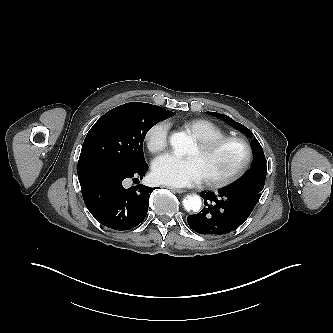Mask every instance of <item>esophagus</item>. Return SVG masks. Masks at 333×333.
Here are the masks:
<instances>
[{"mask_svg":"<svg viewBox=\"0 0 333 333\" xmlns=\"http://www.w3.org/2000/svg\"><path fill=\"white\" fill-rule=\"evenodd\" d=\"M168 189L177 192V193H184L185 190L184 189H179V188H175V187H171V186H166Z\"/></svg>","mask_w":333,"mask_h":333,"instance_id":"obj_1","label":"esophagus"}]
</instances>
